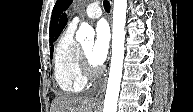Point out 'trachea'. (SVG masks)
<instances>
[{
  "label": "trachea",
  "instance_id": "obj_1",
  "mask_svg": "<svg viewBox=\"0 0 193 112\" xmlns=\"http://www.w3.org/2000/svg\"><path fill=\"white\" fill-rule=\"evenodd\" d=\"M103 5H104L105 11H106V12H110V3H109V1L105 0V1L103 2Z\"/></svg>",
  "mask_w": 193,
  "mask_h": 112
}]
</instances>
